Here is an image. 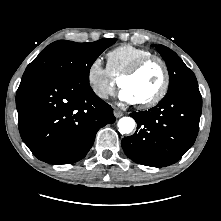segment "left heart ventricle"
<instances>
[{
	"label": "left heart ventricle",
	"mask_w": 221,
	"mask_h": 221,
	"mask_svg": "<svg viewBox=\"0 0 221 221\" xmlns=\"http://www.w3.org/2000/svg\"><path fill=\"white\" fill-rule=\"evenodd\" d=\"M163 82V69L157 61H151L136 75L123 79L121 87L128 90L136 103L150 99Z\"/></svg>",
	"instance_id": "1"
}]
</instances>
